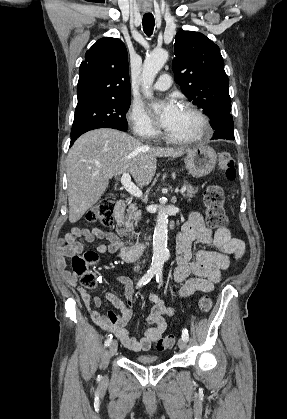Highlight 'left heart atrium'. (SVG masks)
I'll return each mask as SVG.
<instances>
[{"instance_id":"1","label":"left heart atrium","mask_w":287,"mask_h":419,"mask_svg":"<svg viewBox=\"0 0 287 419\" xmlns=\"http://www.w3.org/2000/svg\"><path fill=\"white\" fill-rule=\"evenodd\" d=\"M156 114L159 124L168 129L180 112V106L174 98H167L163 101L155 102L151 106Z\"/></svg>"}]
</instances>
